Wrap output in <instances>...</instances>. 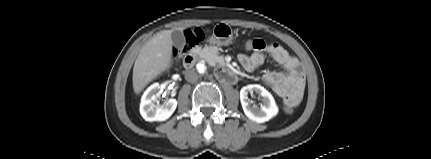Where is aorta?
Returning <instances> with one entry per match:
<instances>
[{
  "mask_svg": "<svg viewBox=\"0 0 431 159\" xmlns=\"http://www.w3.org/2000/svg\"><path fill=\"white\" fill-rule=\"evenodd\" d=\"M196 68L201 75H206L208 72V66L203 62H199Z\"/></svg>",
  "mask_w": 431,
  "mask_h": 159,
  "instance_id": "obj_1",
  "label": "aorta"
}]
</instances>
